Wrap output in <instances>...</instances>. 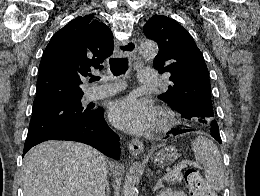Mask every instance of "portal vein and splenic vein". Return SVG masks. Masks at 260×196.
<instances>
[{
    "label": "portal vein and splenic vein",
    "instance_id": "18ae733b",
    "mask_svg": "<svg viewBox=\"0 0 260 196\" xmlns=\"http://www.w3.org/2000/svg\"><path fill=\"white\" fill-rule=\"evenodd\" d=\"M187 166V162H180V164H178V166H176L175 170H172V172H168V174H166V176H162L163 180H170V178H175V176H177V174H181V170H183V168H186Z\"/></svg>",
    "mask_w": 260,
    "mask_h": 196
}]
</instances>
